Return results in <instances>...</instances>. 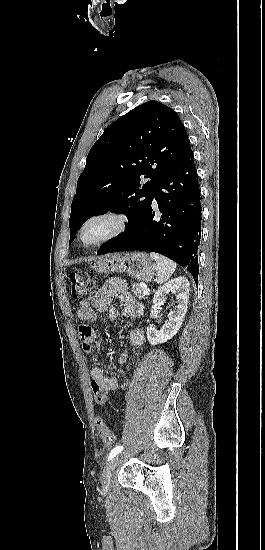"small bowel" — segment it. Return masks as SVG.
Wrapping results in <instances>:
<instances>
[{
	"label": "small bowel",
	"instance_id": "obj_1",
	"mask_svg": "<svg viewBox=\"0 0 265 550\" xmlns=\"http://www.w3.org/2000/svg\"><path fill=\"white\" fill-rule=\"evenodd\" d=\"M117 300L121 311L115 308L113 301ZM109 312L112 319L119 316H125L129 319H138L143 315V305L136 301L128 291L127 284L122 279H109L97 293L80 303L78 309V318L84 322H91L96 318V313ZM80 339L83 344L85 355L91 363L90 379L91 389L96 385L106 395L110 391L124 389L128 380L124 376L121 367L124 365L127 355L121 354L117 367L106 369L97 360L100 341L97 339L96 332L89 326H82L79 331ZM127 342L130 346H141L145 342V336L142 329L133 327L128 331Z\"/></svg>",
	"mask_w": 265,
	"mask_h": 550
}]
</instances>
